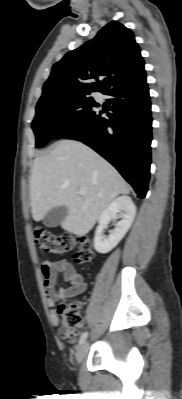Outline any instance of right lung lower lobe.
Wrapping results in <instances>:
<instances>
[{
  "mask_svg": "<svg viewBox=\"0 0 182 399\" xmlns=\"http://www.w3.org/2000/svg\"><path fill=\"white\" fill-rule=\"evenodd\" d=\"M104 94L113 98L105 112L96 113L81 129L61 137L81 141L108 160L132 185L139 198L148 190L152 117L146 75L118 83Z\"/></svg>",
  "mask_w": 182,
  "mask_h": 399,
  "instance_id": "right-lung-lower-lobe-1",
  "label": "right lung lower lobe"
}]
</instances>
